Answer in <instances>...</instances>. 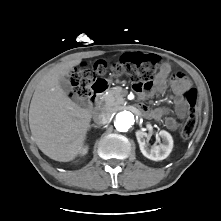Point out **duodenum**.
Returning a JSON list of instances; mask_svg holds the SVG:
<instances>
[{
  "instance_id": "410a0bca",
  "label": "duodenum",
  "mask_w": 221,
  "mask_h": 221,
  "mask_svg": "<svg viewBox=\"0 0 221 221\" xmlns=\"http://www.w3.org/2000/svg\"><path fill=\"white\" fill-rule=\"evenodd\" d=\"M108 88V84L103 79L95 80L90 86L89 99L92 103H96L100 96H102Z\"/></svg>"
}]
</instances>
